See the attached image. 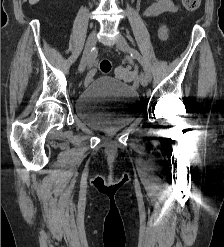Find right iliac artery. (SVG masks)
Returning <instances> with one entry per match:
<instances>
[{
  "label": "right iliac artery",
  "instance_id": "82829eb1",
  "mask_svg": "<svg viewBox=\"0 0 224 247\" xmlns=\"http://www.w3.org/2000/svg\"><path fill=\"white\" fill-rule=\"evenodd\" d=\"M96 54H97V51H96V49L94 48V49H93L92 58H91V60H90V62H89V67H91V66L93 65V63H94V61H95V58H96Z\"/></svg>",
  "mask_w": 224,
  "mask_h": 247
}]
</instances>
